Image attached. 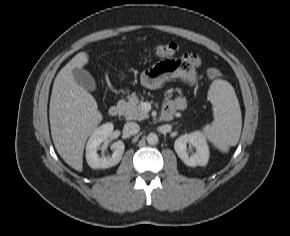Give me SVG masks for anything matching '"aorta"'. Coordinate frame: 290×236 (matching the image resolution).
<instances>
[{
    "mask_svg": "<svg viewBox=\"0 0 290 236\" xmlns=\"http://www.w3.org/2000/svg\"><path fill=\"white\" fill-rule=\"evenodd\" d=\"M147 142L148 144L150 145H155L158 143V136L157 134L155 133H150L148 136H147Z\"/></svg>",
    "mask_w": 290,
    "mask_h": 236,
    "instance_id": "762f6f07",
    "label": "aorta"
}]
</instances>
